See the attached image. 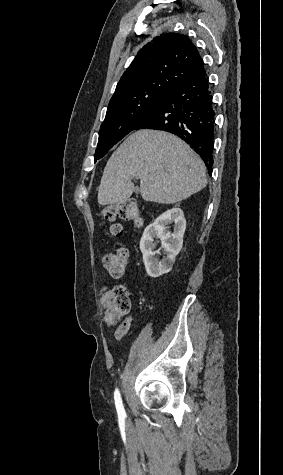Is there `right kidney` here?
I'll return each instance as SVG.
<instances>
[{
	"mask_svg": "<svg viewBox=\"0 0 283 475\" xmlns=\"http://www.w3.org/2000/svg\"><path fill=\"white\" fill-rule=\"evenodd\" d=\"M174 224V232H168L166 226ZM186 220L180 208H172L156 218L153 224L147 226L140 239V249L143 253L145 269L150 277H159L162 273H168L173 267L175 257L183 245V236L185 234ZM154 238H160L162 247L165 249V257L158 259L155 257L157 251Z\"/></svg>",
	"mask_w": 283,
	"mask_h": 475,
	"instance_id": "obj_1",
	"label": "right kidney"
}]
</instances>
